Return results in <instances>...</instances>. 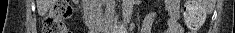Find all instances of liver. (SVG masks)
<instances>
[{
  "label": "liver",
  "mask_w": 235,
  "mask_h": 33,
  "mask_svg": "<svg viewBox=\"0 0 235 33\" xmlns=\"http://www.w3.org/2000/svg\"><path fill=\"white\" fill-rule=\"evenodd\" d=\"M53 3L54 0H36L38 14L40 16L45 15Z\"/></svg>",
  "instance_id": "liver-1"
}]
</instances>
